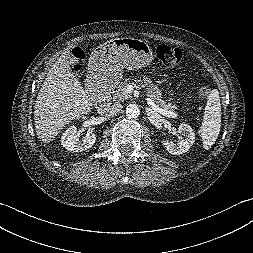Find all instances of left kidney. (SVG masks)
Segmentation results:
<instances>
[{"instance_id": "left-kidney-1", "label": "left kidney", "mask_w": 253, "mask_h": 253, "mask_svg": "<svg viewBox=\"0 0 253 253\" xmlns=\"http://www.w3.org/2000/svg\"><path fill=\"white\" fill-rule=\"evenodd\" d=\"M179 134L183 135L184 138H179L178 143L175 144L173 142H168L166 140L162 141V144L166 148V150L173 155H180L189 150V148L193 145L195 134L190 125L181 123L178 128Z\"/></svg>"}]
</instances>
